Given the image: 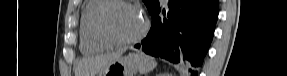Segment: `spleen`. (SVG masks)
Listing matches in <instances>:
<instances>
[{
	"mask_svg": "<svg viewBox=\"0 0 287 76\" xmlns=\"http://www.w3.org/2000/svg\"><path fill=\"white\" fill-rule=\"evenodd\" d=\"M138 63L139 72L141 74L148 73L157 66V62L154 58L144 54H131L130 55Z\"/></svg>",
	"mask_w": 287,
	"mask_h": 76,
	"instance_id": "spleen-1",
	"label": "spleen"
}]
</instances>
